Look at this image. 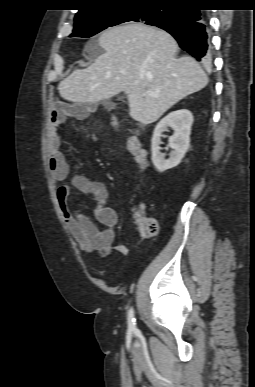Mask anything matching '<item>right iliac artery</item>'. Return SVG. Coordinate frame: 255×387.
<instances>
[{
  "instance_id": "1",
  "label": "right iliac artery",
  "mask_w": 255,
  "mask_h": 387,
  "mask_svg": "<svg viewBox=\"0 0 255 387\" xmlns=\"http://www.w3.org/2000/svg\"><path fill=\"white\" fill-rule=\"evenodd\" d=\"M128 327L130 330L136 329V321L134 318V311L132 308H130L128 311Z\"/></svg>"
}]
</instances>
